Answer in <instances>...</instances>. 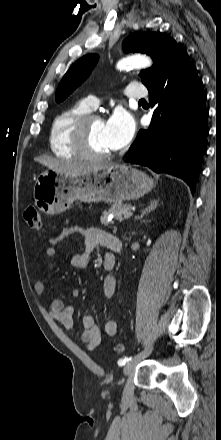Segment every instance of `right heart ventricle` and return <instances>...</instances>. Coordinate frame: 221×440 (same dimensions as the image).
I'll use <instances>...</instances> for the list:
<instances>
[{"instance_id":"1","label":"right heart ventricle","mask_w":221,"mask_h":440,"mask_svg":"<svg viewBox=\"0 0 221 440\" xmlns=\"http://www.w3.org/2000/svg\"><path fill=\"white\" fill-rule=\"evenodd\" d=\"M92 108L86 100L63 109L53 119L49 131V146L54 155L65 159L80 158L71 141V129L81 116L91 113Z\"/></svg>"}]
</instances>
